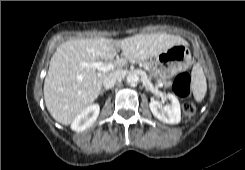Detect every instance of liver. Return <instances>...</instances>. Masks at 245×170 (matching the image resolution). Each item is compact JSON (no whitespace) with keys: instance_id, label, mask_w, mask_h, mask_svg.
<instances>
[{"instance_id":"1","label":"liver","mask_w":245,"mask_h":170,"mask_svg":"<svg viewBox=\"0 0 245 170\" xmlns=\"http://www.w3.org/2000/svg\"><path fill=\"white\" fill-rule=\"evenodd\" d=\"M187 44L180 36L167 33L137 34L121 40L107 38L71 39L60 44L53 54L44 81V100L51 116L63 125L73 120L99 96L105 77L122 72L118 67L131 60H145L167 49ZM122 50L124 58L111 64L112 71L82 67L81 62L111 60Z\"/></svg>"}]
</instances>
